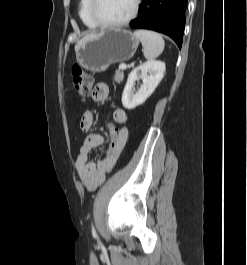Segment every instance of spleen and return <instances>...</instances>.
I'll use <instances>...</instances> for the list:
<instances>
[{
	"instance_id": "1",
	"label": "spleen",
	"mask_w": 247,
	"mask_h": 265,
	"mask_svg": "<svg viewBox=\"0 0 247 265\" xmlns=\"http://www.w3.org/2000/svg\"><path fill=\"white\" fill-rule=\"evenodd\" d=\"M134 36L141 41L146 59L152 60L163 52L165 42L160 34L154 31L140 29L134 32Z\"/></svg>"
}]
</instances>
